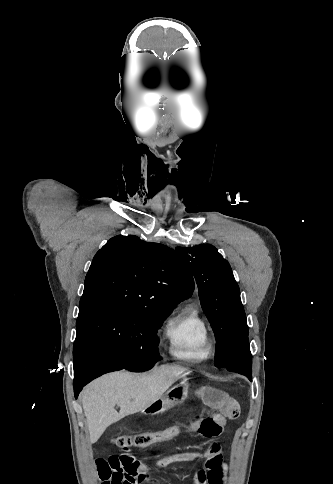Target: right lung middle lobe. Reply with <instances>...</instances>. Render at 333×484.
Wrapping results in <instances>:
<instances>
[{"mask_svg":"<svg viewBox=\"0 0 333 484\" xmlns=\"http://www.w3.org/2000/svg\"><path fill=\"white\" fill-rule=\"evenodd\" d=\"M168 311L140 307L93 304L79 307L74 363L82 358L88 345L100 346L112 353L125 369L144 371L161 360L157 329Z\"/></svg>","mask_w":333,"mask_h":484,"instance_id":"right-lung-middle-lobe-1","label":"right lung middle lobe"}]
</instances>
